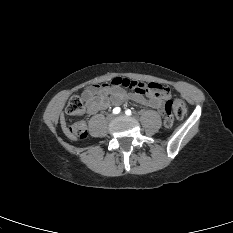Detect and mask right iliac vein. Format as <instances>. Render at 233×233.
I'll use <instances>...</instances> for the list:
<instances>
[{"label": "right iliac vein", "instance_id": "63e3f726", "mask_svg": "<svg viewBox=\"0 0 233 233\" xmlns=\"http://www.w3.org/2000/svg\"><path fill=\"white\" fill-rule=\"evenodd\" d=\"M113 117H114L113 115H109V116H108V119H109V120H112Z\"/></svg>", "mask_w": 233, "mask_h": 233}]
</instances>
